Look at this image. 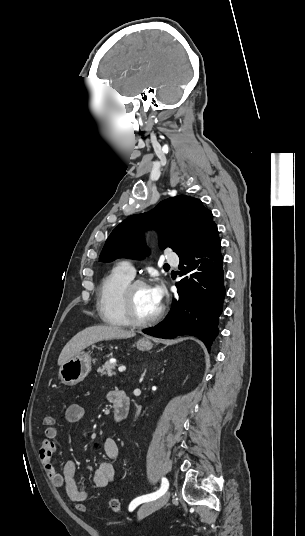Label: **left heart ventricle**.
I'll use <instances>...</instances> for the list:
<instances>
[{"instance_id": "b2bd125f", "label": "left heart ventricle", "mask_w": 305, "mask_h": 536, "mask_svg": "<svg viewBox=\"0 0 305 536\" xmlns=\"http://www.w3.org/2000/svg\"><path fill=\"white\" fill-rule=\"evenodd\" d=\"M131 301L135 312L140 316H149L157 311L159 305L152 301L151 287L139 285L132 291Z\"/></svg>"}]
</instances>
